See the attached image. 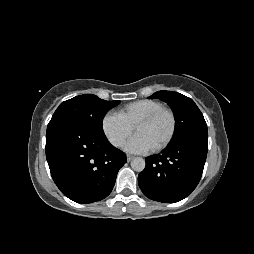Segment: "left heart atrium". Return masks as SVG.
<instances>
[{
  "mask_svg": "<svg viewBox=\"0 0 254 254\" xmlns=\"http://www.w3.org/2000/svg\"><path fill=\"white\" fill-rule=\"evenodd\" d=\"M152 148L150 142L140 134H136L125 144V150L130 153H145Z\"/></svg>",
  "mask_w": 254,
  "mask_h": 254,
  "instance_id": "1",
  "label": "left heart atrium"
}]
</instances>
